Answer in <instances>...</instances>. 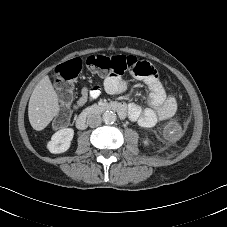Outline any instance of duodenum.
Returning <instances> with one entry per match:
<instances>
[{"mask_svg": "<svg viewBox=\"0 0 227 227\" xmlns=\"http://www.w3.org/2000/svg\"><path fill=\"white\" fill-rule=\"evenodd\" d=\"M107 111H114L121 118H125L127 116V108L125 105L117 102L104 103L87 109L84 113H82L76 120V127L80 130L85 129L94 113H102Z\"/></svg>", "mask_w": 227, "mask_h": 227, "instance_id": "410a0bca", "label": "duodenum"}]
</instances>
